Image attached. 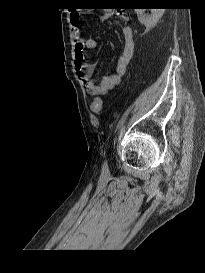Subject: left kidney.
Instances as JSON below:
<instances>
[{"label":"left kidney","instance_id":"obj_1","mask_svg":"<svg viewBox=\"0 0 205 273\" xmlns=\"http://www.w3.org/2000/svg\"><path fill=\"white\" fill-rule=\"evenodd\" d=\"M146 9H135L140 23L144 24L146 28L154 27L159 19L163 16L165 9H151V14H145Z\"/></svg>","mask_w":205,"mask_h":273}]
</instances>
